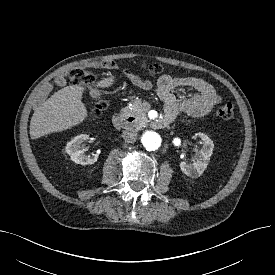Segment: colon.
<instances>
[{"mask_svg":"<svg viewBox=\"0 0 275 275\" xmlns=\"http://www.w3.org/2000/svg\"><path fill=\"white\" fill-rule=\"evenodd\" d=\"M92 65H101L106 68H112L114 67V62L106 60L100 63H93ZM145 68L152 75H158L162 72V67L158 64L146 65ZM67 77L69 81L75 85L83 86L88 91L92 89L94 76L83 68L76 67L71 69L68 72ZM106 106L107 103L102 98L92 101L90 104L89 117L93 118L99 116L105 110ZM217 114L223 120H230L234 116V107L231 103H226L218 108Z\"/></svg>","mask_w":275,"mask_h":275,"instance_id":"5ec220e1","label":"colon"}]
</instances>
